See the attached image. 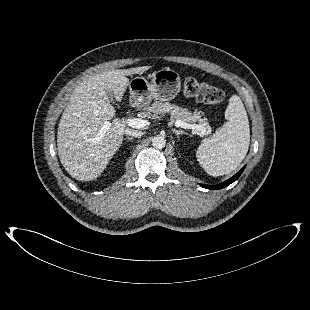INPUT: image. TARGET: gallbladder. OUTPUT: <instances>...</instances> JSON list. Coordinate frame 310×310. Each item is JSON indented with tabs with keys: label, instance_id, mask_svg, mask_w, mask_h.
Listing matches in <instances>:
<instances>
[{
	"label": "gallbladder",
	"instance_id": "gallbladder-1",
	"mask_svg": "<svg viewBox=\"0 0 310 310\" xmlns=\"http://www.w3.org/2000/svg\"><path fill=\"white\" fill-rule=\"evenodd\" d=\"M106 94H107L109 100L113 101L114 94L111 91H107Z\"/></svg>",
	"mask_w": 310,
	"mask_h": 310
}]
</instances>
